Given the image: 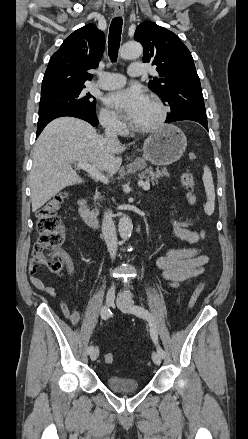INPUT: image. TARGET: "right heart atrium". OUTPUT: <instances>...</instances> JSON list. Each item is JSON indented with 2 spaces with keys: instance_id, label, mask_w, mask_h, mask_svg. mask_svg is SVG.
Masks as SVG:
<instances>
[{
  "instance_id": "right-heart-atrium-1",
  "label": "right heart atrium",
  "mask_w": 248,
  "mask_h": 439,
  "mask_svg": "<svg viewBox=\"0 0 248 439\" xmlns=\"http://www.w3.org/2000/svg\"><path fill=\"white\" fill-rule=\"evenodd\" d=\"M98 117L103 128L110 132L122 134L126 129V125L121 117L107 108H102Z\"/></svg>"
}]
</instances>
